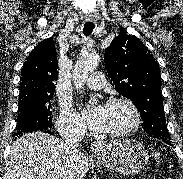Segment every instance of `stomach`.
<instances>
[{"label":"stomach","instance_id":"1","mask_svg":"<svg viewBox=\"0 0 183 179\" xmlns=\"http://www.w3.org/2000/svg\"><path fill=\"white\" fill-rule=\"evenodd\" d=\"M96 155L103 166L123 175L139 173L149 160L145 147L135 140L102 143L96 149Z\"/></svg>","mask_w":183,"mask_h":179}]
</instances>
